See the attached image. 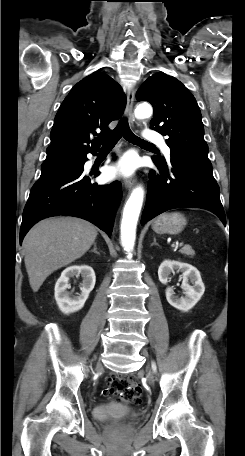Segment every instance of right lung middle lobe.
Returning a JSON list of instances; mask_svg holds the SVG:
<instances>
[{"instance_id":"obj_1","label":"right lung middle lobe","mask_w":245,"mask_h":456,"mask_svg":"<svg viewBox=\"0 0 245 456\" xmlns=\"http://www.w3.org/2000/svg\"><path fill=\"white\" fill-rule=\"evenodd\" d=\"M77 165H78V162H73V163H69V164H65V165L57 166V167H53V168L41 169V175H48V174L58 173V172H62V171H69V170L76 168Z\"/></svg>"}]
</instances>
